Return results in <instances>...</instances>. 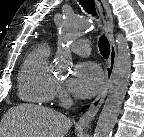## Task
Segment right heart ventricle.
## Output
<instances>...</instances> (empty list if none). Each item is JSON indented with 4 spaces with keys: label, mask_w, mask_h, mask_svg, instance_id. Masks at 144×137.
I'll list each match as a JSON object with an SVG mask.
<instances>
[{
    "label": "right heart ventricle",
    "mask_w": 144,
    "mask_h": 137,
    "mask_svg": "<svg viewBox=\"0 0 144 137\" xmlns=\"http://www.w3.org/2000/svg\"><path fill=\"white\" fill-rule=\"evenodd\" d=\"M46 43L35 45L26 55L18 76V95L32 104H48L55 97L57 80L50 65Z\"/></svg>",
    "instance_id": "e07e8e85"
}]
</instances>
